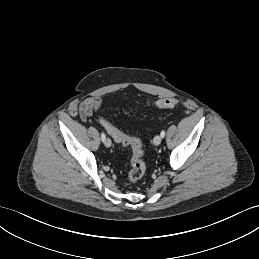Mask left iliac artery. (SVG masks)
Here are the masks:
<instances>
[{
	"mask_svg": "<svg viewBox=\"0 0 259 259\" xmlns=\"http://www.w3.org/2000/svg\"><path fill=\"white\" fill-rule=\"evenodd\" d=\"M161 137L163 138L165 136V131L162 130L161 133H160Z\"/></svg>",
	"mask_w": 259,
	"mask_h": 259,
	"instance_id": "left-iliac-artery-1",
	"label": "left iliac artery"
}]
</instances>
